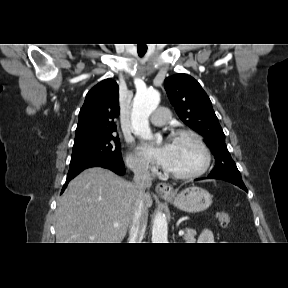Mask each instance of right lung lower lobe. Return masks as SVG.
Listing matches in <instances>:
<instances>
[{
    "mask_svg": "<svg viewBox=\"0 0 288 288\" xmlns=\"http://www.w3.org/2000/svg\"><path fill=\"white\" fill-rule=\"evenodd\" d=\"M103 167L112 170L113 172L122 175L125 172L124 163H116L111 160L102 157L89 158L75 163H70L66 182L63 186L62 192L67 187L69 181L74 178L77 174L89 167Z\"/></svg>",
    "mask_w": 288,
    "mask_h": 288,
    "instance_id": "right-lung-lower-lobe-1",
    "label": "right lung lower lobe"
}]
</instances>
